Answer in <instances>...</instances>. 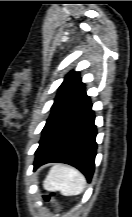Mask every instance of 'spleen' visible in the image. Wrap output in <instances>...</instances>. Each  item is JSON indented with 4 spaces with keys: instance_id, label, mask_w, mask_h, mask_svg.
Returning a JSON list of instances; mask_svg holds the SVG:
<instances>
[{
    "instance_id": "1",
    "label": "spleen",
    "mask_w": 132,
    "mask_h": 217,
    "mask_svg": "<svg viewBox=\"0 0 132 217\" xmlns=\"http://www.w3.org/2000/svg\"><path fill=\"white\" fill-rule=\"evenodd\" d=\"M86 179L77 169L62 165H54L44 181L49 191H60L64 196L78 195L83 192Z\"/></svg>"
}]
</instances>
